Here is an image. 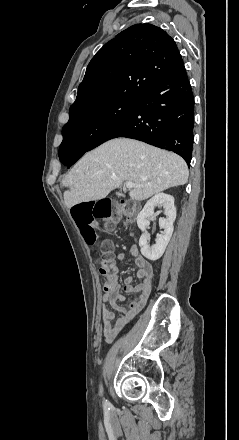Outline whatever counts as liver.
<instances>
[{"instance_id":"1","label":"liver","mask_w":239,"mask_h":440,"mask_svg":"<svg viewBox=\"0 0 239 440\" xmlns=\"http://www.w3.org/2000/svg\"><path fill=\"white\" fill-rule=\"evenodd\" d=\"M147 176L146 182L142 180ZM186 162L173 154L144 142L115 138L85 154L65 176L62 184L67 208L80 202L102 200L123 182L139 184L130 190L131 200H147L172 186L186 184Z\"/></svg>"}]
</instances>
